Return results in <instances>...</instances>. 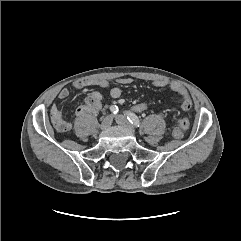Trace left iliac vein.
Instances as JSON below:
<instances>
[{
	"label": "left iliac vein",
	"instance_id": "4c4485c4",
	"mask_svg": "<svg viewBox=\"0 0 241 241\" xmlns=\"http://www.w3.org/2000/svg\"><path fill=\"white\" fill-rule=\"evenodd\" d=\"M116 122L118 125L123 126L125 128H127L129 131H131L132 133L135 132L134 127L130 124V122L127 120L126 117H124L123 115H118L115 118Z\"/></svg>",
	"mask_w": 241,
	"mask_h": 241
}]
</instances>
